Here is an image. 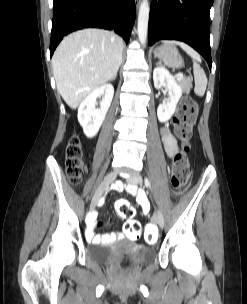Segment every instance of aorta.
Listing matches in <instances>:
<instances>
[{"instance_id":"obj_1","label":"aorta","mask_w":247,"mask_h":304,"mask_svg":"<svg viewBox=\"0 0 247 304\" xmlns=\"http://www.w3.org/2000/svg\"><path fill=\"white\" fill-rule=\"evenodd\" d=\"M149 3L148 0H143L138 14V39L142 45L146 44L147 31H148V21H149Z\"/></svg>"}]
</instances>
